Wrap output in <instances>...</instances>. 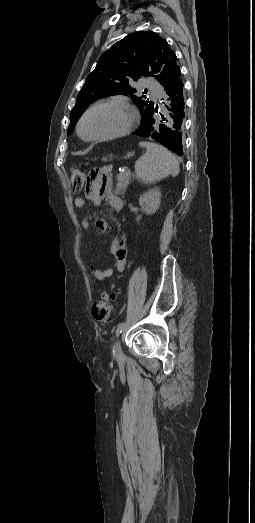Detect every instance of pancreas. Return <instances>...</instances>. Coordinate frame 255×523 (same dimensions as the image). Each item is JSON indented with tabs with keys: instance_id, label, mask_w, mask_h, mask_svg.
<instances>
[{
	"instance_id": "obj_1",
	"label": "pancreas",
	"mask_w": 255,
	"mask_h": 523,
	"mask_svg": "<svg viewBox=\"0 0 255 523\" xmlns=\"http://www.w3.org/2000/svg\"><path fill=\"white\" fill-rule=\"evenodd\" d=\"M132 174H127L126 172H120V174H117V186L115 190V194H123L125 192L129 180H131Z\"/></svg>"
}]
</instances>
